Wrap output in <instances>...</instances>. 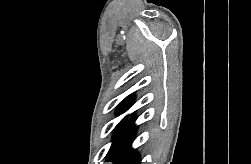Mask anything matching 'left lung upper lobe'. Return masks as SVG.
Listing matches in <instances>:
<instances>
[{
	"label": "left lung upper lobe",
	"mask_w": 251,
	"mask_h": 164,
	"mask_svg": "<svg viewBox=\"0 0 251 164\" xmlns=\"http://www.w3.org/2000/svg\"><path fill=\"white\" fill-rule=\"evenodd\" d=\"M134 101V95L131 94L129 95L128 97H126L118 106L117 108V113L118 114H122L124 113L125 111H127L129 109V107L132 105ZM127 118V116L125 118L122 119V121L116 126L115 130H114V135H113V141H112V145H111V148L107 154V158H109L113 151H114V146H115V140H116V136L123 124V122L125 121V119Z\"/></svg>",
	"instance_id": "left-lung-upper-lobe-1"
}]
</instances>
